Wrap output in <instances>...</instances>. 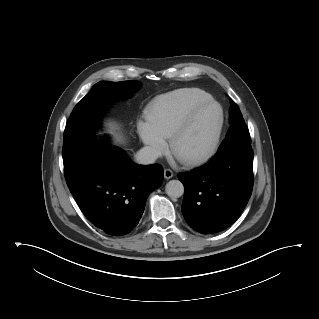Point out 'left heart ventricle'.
<instances>
[{
  "label": "left heart ventricle",
  "instance_id": "b2bd125f",
  "mask_svg": "<svg viewBox=\"0 0 319 319\" xmlns=\"http://www.w3.org/2000/svg\"><path fill=\"white\" fill-rule=\"evenodd\" d=\"M220 121L219 109L209 106L196 117L192 127L178 142L180 156H195L206 152L212 145Z\"/></svg>",
  "mask_w": 319,
  "mask_h": 319
}]
</instances>
